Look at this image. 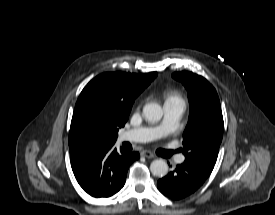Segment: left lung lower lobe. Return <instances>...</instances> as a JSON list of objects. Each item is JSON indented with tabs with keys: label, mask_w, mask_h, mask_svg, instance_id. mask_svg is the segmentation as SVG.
<instances>
[{
	"label": "left lung lower lobe",
	"mask_w": 275,
	"mask_h": 215,
	"mask_svg": "<svg viewBox=\"0 0 275 215\" xmlns=\"http://www.w3.org/2000/svg\"><path fill=\"white\" fill-rule=\"evenodd\" d=\"M208 176L184 162L160 179L157 187L166 197L179 200L193 194L203 185Z\"/></svg>",
	"instance_id": "obj_1"
}]
</instances>
